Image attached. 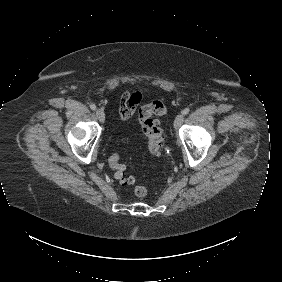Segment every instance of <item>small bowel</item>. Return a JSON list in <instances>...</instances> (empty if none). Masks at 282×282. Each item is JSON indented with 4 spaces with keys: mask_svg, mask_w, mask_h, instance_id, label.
<instances>
[{
    "mask_svg": "<svg viewBox=\"0 0 282 282\" xmlns=\"http://www.w3.org/2000/svg\"><path fill=\"white\" fill-rule=\"evenodd\" d=\"M142 102V91L126 90L121 94L118 117L122 121L131 119L138 111Z\"/></svg>",
    "mask_w": 282,
    "mask_h": 282,
    "instance_id": "c3829d8e",
    "label": "small bowel"
}]
</instances>
